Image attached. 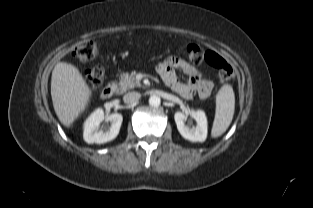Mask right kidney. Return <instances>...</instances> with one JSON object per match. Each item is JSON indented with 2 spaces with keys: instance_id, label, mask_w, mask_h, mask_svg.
Wrapping results in <instances>:
<instances>
[{
  "instance_id": "right-kidney-1",
  "label": "right kidney",
  "mask_w": 313,
  "mask_h": 208,
  "mask_svg": "<svg viewBox=\"0 0 313 208\" xmlns=\"http://www.w3.org/2000/svg\"><path fill=\"white\" fill-rule=\"evenodd\" d=\"M104 118V111L98 108L86 119L83 131V138L86 143L102 144L117 137L123 121L122 115L114 113L107 116L106 120L111 122V126L100 129V123Z\"/></svg>"
}]
</instances>
